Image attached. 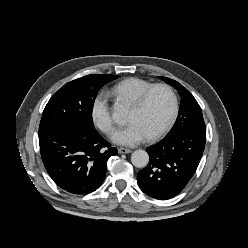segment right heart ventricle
Segmentation results:
<instances>
[{"mask_svg":"<svg viewBox=\"0 0 248 248\" xmlns=\"http://www.w3.org/2000/svg\"><path fill=\"white\" fill-rule=\"evenodd\" d=\"M150 81L131 77L124 79L110 88V93L118 99H125L130 103H133L136 98L147 88L152 86Z\"/></svg>","mask_w":248,"mask_h":248,"instance_id":"1","label":"right heart ventricle"}]
</instances>
